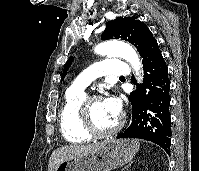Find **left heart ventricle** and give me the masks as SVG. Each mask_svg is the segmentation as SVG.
Wrapping results in <instances>:
<instances>
[{
    "label": "left heart ventricle",
    "instance_id": "b2bd125f",
    "mask_svg": "<svg viewBox=\"0 0 199 171\" xmlns=\"http://www.w3.org/2000/svg\"><path fill=\"white\" fill-rule=\"evenodd\" d=\"M90 108L96 125L101 129L112 127L119 119L118 117L111 116L106 111L102 99L92 101Z\"/></svg>",
    "mask_w": 199,
    "mask_h": 171
}]
</instances>
